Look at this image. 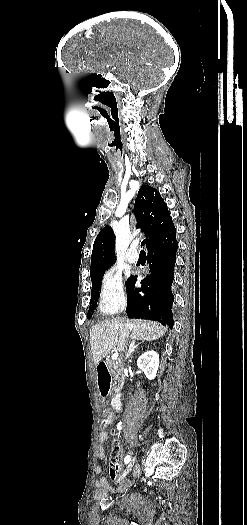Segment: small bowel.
<instances>
[{
  "instance_id": "small-bowel-1",
  "label": "small bowel",
  "mask_w": 247,
  "mask_h": 525,
  "mask_svg": "<svg viewBox=\"0 0 247 525\" xmlns=\"http://www.w3.org/2000/svg\"><path fill=\"white\" fill-rule=\"evenodd\" d=\"M109 438V434L107 431H105V433H100L99 434V447H98V451H97V458L100 460V461H104L105 460V451H104V442H106ZM118 460H119V450L116 448L113 452H112V455H111V465H113V469H114V472L112 475H110V479L112 481H116L118 482L119 481V478H118V472H119V463H118ZM102 471V467L100 465H98L96 467V473L97 474H100ZM118 485H122V482H118ZM96 486L98 488H104V487H107V479L105 477H99L97 480H96ZM130 490H133V487H130ZM110 494H113V491H110Z\"/></svg>"
}]
</instances>
